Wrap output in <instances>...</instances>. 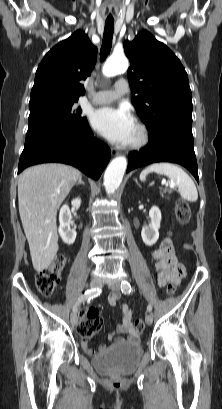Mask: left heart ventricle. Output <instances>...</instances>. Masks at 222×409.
Returning <instances> with one entry per match:
<instances>
[{
	"label": "left heart ventricle",
	"mask_w": 222,
	"mask_h": 409,
	"mask_svg": "<svg viewBox=\"0 0 222 409\" xmlns=\"http://www.w3.org/2000/svg\"><path fill=\"white\" fill-rule=\"evenodd\" d=\"M136 137H137V129L135 128V131H134V134H133V137H132L131 142H132L133 140H135Z\"/></svg>",
	"instance_id": "left-heart-ventricle-1"
}]
</instances>
